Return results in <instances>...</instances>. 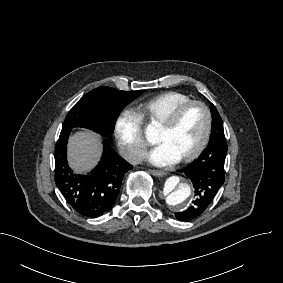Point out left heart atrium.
Listing matches in <instances>:
<instances>
[{"mask_svg": "<svg viewBox=\"0 0 283 283\" xmlns=\"http://www.w3.org/2000/svg\"><path fill=\"white\" fill-rule=\"evenodd\" d=\"M178 154L166 143L157 144L144 154V159L151 165L165 167L179 160Z\"/></svg>", "mask_w": 283, "mask_h": 283, "instance_id": "obj_1", "label": "left heart atrium"}]
</instances>
